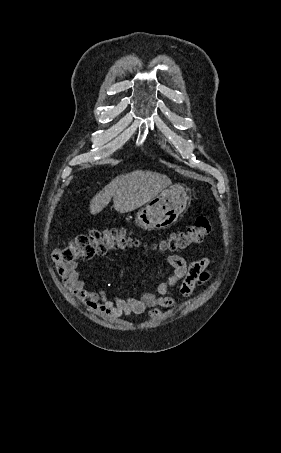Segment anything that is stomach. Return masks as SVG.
Returning <instances> with one entry per match:
<instances>
[{"label":"stomach","instance_id":"obj_1","mask_svg":"<svg viewBox=\"0 0 281 453\" xmlns=\"http://www.w3.org/2000/svg\"><path fill=\"white\" fill-rule=\"evenodd\" d=\"M189 198V188L183 184H171L138 210L136 224L145 231L169 229L186 210Z\"/></svg>","mask_w":281,"mask_h":453}]
</instances>
